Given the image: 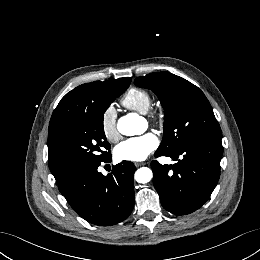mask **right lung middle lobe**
<instances>
[{
  "label": "right lung middle lobe",
  "instance_id": "obj_1",
  "mask_svg": "<svg viewBox=\"0 0 260 260\" xmlns=\"http://www.w3.org/2000/svg\"><path fill=\"white\" fill-rule=\"evenodd\" d=\"M124 91H104L97 94L86 110L57 134L58 158L65 174L99 163L110 155V144L103 129V117L109 105Z\"/></svg>",
  "mask_w": 260,
  "mask_h": 260
}]
</instances>
